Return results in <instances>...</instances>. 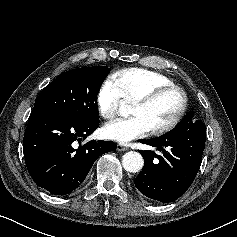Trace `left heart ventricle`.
<instances>
[{"label": "left heart ventricle", "mask_w": 237, "mask_h": 237, "mask_svg": "<svg viewBox=\"0 0 237 237\" xmlns=\"http://www.w3.org/2000/svg\"><path fill=\"white\" fill-rule=\"evenodd\" d=\"M180 104V95L177 92H169L150 104H132L130 113L142 117L151 130L171 121Z\"/></svg>", "instance_id": "1"}]
</instances>
